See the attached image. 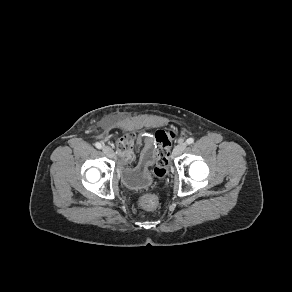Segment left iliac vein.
Masks as SVG:
<instances>
[{"label":"left iliac vein","mask_w":292,"mask_h":292,"mask_svg":"<svg viewBox=\"0 0 292 292\" xmlns=\"http://www.w3.org/2000/svg\"><path fill=\"white\" fill-rule=\"evenodd\" d=\"M187 144L183 141L179 142L173 150V157L179 156L186 148Z\"/></svg>","instance_id":"left-iliac-vein-1"}]
</instances>
